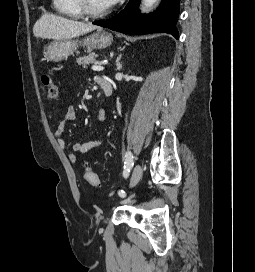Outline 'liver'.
<instances>
[{
	"label": "liver",
	"instance_id": "1",
	"mask_svg": "<svg viewBox=\"0 0 255 272\" xmlns=\"http://www.w3.org/2000/svg\"><path fill=\"white\" fill-rule=\"evenodd\" d=\"M99 27L46 13L35 23L33 34L42 39L63 40L78 37Z\"/></svg>",
	"mask_w": 255,
	"mask_h": 272
}]
</instances>
